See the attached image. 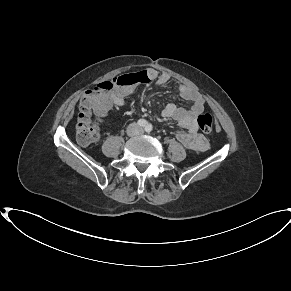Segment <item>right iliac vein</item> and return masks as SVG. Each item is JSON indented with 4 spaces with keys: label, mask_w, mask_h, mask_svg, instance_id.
<instances>
[{
    "label": "right iliac vein",
    "mask_w": 291,
    "mask_h": 291,
    "mask_svg": "<svg viewBox=\"0 0 291 291\" xmlns=\"http://www.w3.org/2000/svg\"><path fill=\"white\" fill-rule=\"evenodd\" d=\"M129 134H132V132H131V131H129Z\"/></svg>",
    "instance_id": "1"
}]
</instances>
